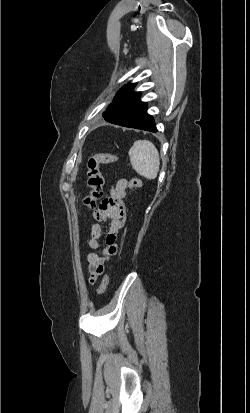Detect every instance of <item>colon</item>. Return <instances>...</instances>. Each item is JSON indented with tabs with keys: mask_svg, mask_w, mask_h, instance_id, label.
Returning <instances> with one entry per match:
<instances>
[{
	"mask_svg": "<svg viewBox=\"0 0 250 413\" xmlns=\"http://www.w3.org/2000/svg\"><path fill=\"white\" fill-rule=\"evenodd\" d=\"M117 161V157L113 154H95L88 160V185L91 189L90 194L85 198L86 206L93 208L96 201L103 195L104 178L100 171L101 164H108ZM143 181L140 178H132L129 181V189H137L142 187ZM109 284L108 274H104L101 283L97 289V293L102 295Z\"/></svg>",
	"mask_w": 250,
	"mask_h": 413,
	"instance_id": "5ec220e1",
	"label": "colon"
}]
</instances>
